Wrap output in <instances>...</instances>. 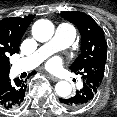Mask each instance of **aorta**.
<instances>
[{"mask_svg":"<svg viewBox=\"0 0 117 117\" xmlns=\"http://www.w3.org/2000/svg\"><path fill=\"white\" fill-rule=\"evenodd\" d=\"M54 34V25L51 21L41 19L34 23L32 35L39 42H46ZM72 86L67 81H60L55 86V92L59 97L66 98L71 94Z\"/></svg>","mask_w":117,"mask_h":117,"instance_id":"obj_1","label":"aorta"}]
</instances>
